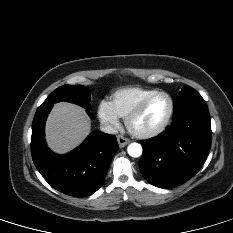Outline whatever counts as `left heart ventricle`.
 <instances>
[{
    "mask_svg": "<svg viewBox=\"0 0 233 233\" xmlns=\"http://www.w3.org/2000/svg\"><path fill=\"white\" fill-rule=\"evenodd\" d=\"M169 100L164 95L152 99L140 115H138L132 126L140 132H147L158 128L165 120L169 112Z\"/></svg>",
    "mask_w": 233,
    "mask_h": 233,
    "instance_id": "left-heart-ventricle-1",
    "label": "left heart ventricle"
}]
</instances>
